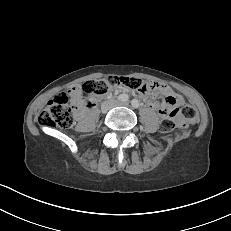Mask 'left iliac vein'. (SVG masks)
<instances>
[{
	"mask_svg": "<svg viewBox=\"0 0 231 231\" xmlns=\"http://www.w3.org/2000/svg\"><path fill=\"white\" fill-rule=\"evenodd\" d=\"M129 103L128 102H117L116 106H128Z\"/></svg>",
	"mask_w": 231,
	"mask_h": 231,
	"instance_id": "obj_1",
	"label": "left iliac vein"
}]
</instances>
